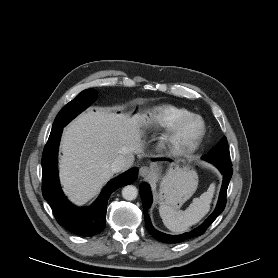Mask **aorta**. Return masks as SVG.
<instances>
[{
  "mask_svg": "<svg viewBox=\"0 0 278 278\" xmlns=\"http://www.w3.org/2000/svg\"><path fill=\"white\" fill-rule=\"evenodd\" d=\"M138 195V190L133 185H127L122 189V196L125 200L131 201L136 199Z\"/></svg>",
  "mask_w": 278,
  "mask_h": 278,
  "instance_id": "762f6f07",
  "label": "aorta"
}]
</instances>
